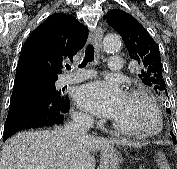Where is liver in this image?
<instances>
[{
  "mask_svg": "<svg viewBox=\"0 0 177 169\" xmlns=\"http://www.w3.org/2000/svg\"><path fill=\"white\" fill-rule=\"evenodd\" d=\"M126 145L114 139L73 137L63 128L25 131L6 141L0 169H95L93 152Z\"/></svg>",
  "mask_w": 177,
  "mask_h": 169,
  "instance_id": "liver-1",
  "label": "liver"
}]
</instances>
